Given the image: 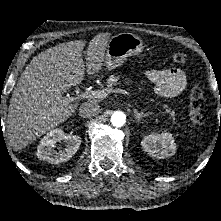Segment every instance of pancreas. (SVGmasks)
Instances as JSON below:
<instances>
[{"label": "pancreas", "instance_id": "pancreas-1", "mask_svg": "<svg viewBox=\"0 0 221 221\" xmlns=\"http://www.w3.org/2000/svg\"><path fill=\"white\" fill-rule=\"evenodd\" d=\"M119 79H120V78H119L118 75H111V76L109 77V79L107 80V87H108L109 89H111V88H113V86H115V85H117V84H120ZM126 83L129 84V83H131V81H130V80H126ZM163 109L165 110L166 113H169V115H170V117H171L172 119H174L175 112H174V111H171V109L169 108L168 105L164 104V105H163Z\"/></svg>", "mask_w": 221, "mask_h": 221}]
</instances>
